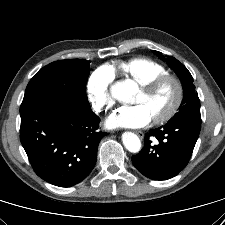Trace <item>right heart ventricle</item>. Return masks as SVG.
Returning <instances> with one entry per match:
<instances>
[{
	"instance_id": "right-heart-ventricle-1",
	"label": "right heart ventricle",
	"mask_w": 225,
	"mask_h": 225,
	"mask_svg": "<svg viewBox=\"0 0 225 225\" xmlns=\"http://www.w3.org/2000/svg\"><path fill=\"white\" fill-rule=\"evenodd\" d=\"M118 68L124 75L139 84L166 74L163 65L146 57H135L121 62L118 64Z\"/></svg>"
}]
</instances>
